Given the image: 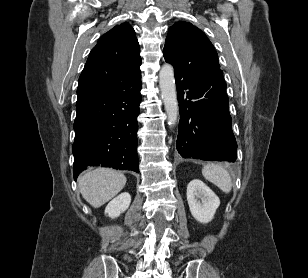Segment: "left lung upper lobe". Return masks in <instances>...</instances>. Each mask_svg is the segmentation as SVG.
Listing matches in <instances>:
<instances>
[{
  "instance_id": "5c2ea615",
  "label": "left lung upper lobe",
  "mask_w": 308,
  "mask_h": 278,
  "mask_svg": "<svg viewBox=\"0 0 308 278\" xmlns=\"http://www.w3.org/2000/svg\"><path fill=\"white\" fill-rule=\"evenodd\" d=\"M175 77L193 78L220 70L217 52L207 36L188 22H177L168 30L163 49Z\"/></svg>"
}]
</instances>
